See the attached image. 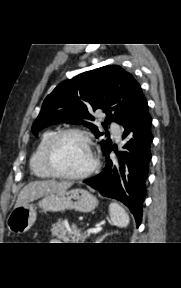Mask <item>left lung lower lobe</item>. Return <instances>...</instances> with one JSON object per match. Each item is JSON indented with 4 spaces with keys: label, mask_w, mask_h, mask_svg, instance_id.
Returning <instances> with one entry per match:
<instances>
[{
    "label": "left lung lower lobe",
    "mask_w": 181,
    "mask_h": 288,
    "mask_svg": "<svg viewBox=\"0 0 181 288\" xmlns=\"http://www.w3.org/2000/svg\"><path fill=\"white\" fill-rule=\"evenodd\" d=\"M121 124L122 138H130L124 146L128 152L122 153L125 156L122 167L119 170L116 167L112 169V161L108 156L110 148L105 152L106 167L97 176L84 180V183L97 189L103 196L122 201L134 215L138 227L142 220V203L146 195L145 182L152 157L150 146L153 141L152 118L141 88Z\"/></svg>",
    "instance_id": "1"
}]
</instances>
